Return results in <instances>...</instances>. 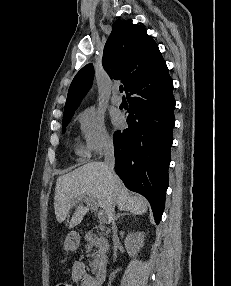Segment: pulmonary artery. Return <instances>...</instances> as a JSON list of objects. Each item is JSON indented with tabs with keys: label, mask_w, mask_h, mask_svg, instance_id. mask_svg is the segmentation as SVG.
Returning <instances> with one entry per match:
<instances>
[{
	"label": "pulmonary artery",
	"mask_w": 231,
	"mask_h": 286,
	"mask_svg": "<svg viewBox=\"0 0 231 286\" xmlns=\"http://www.w3.org/2000/svg\"><path fill=\"white\" fill-rule=\"evenodd\" d=\"M111 102H112L113 105H116V106H119V105L122 104V98L119 95L118 87H115L113 89V93H112V96H111Z\"/></svg>",
	"instance_id": "1"
}]
</instances>
